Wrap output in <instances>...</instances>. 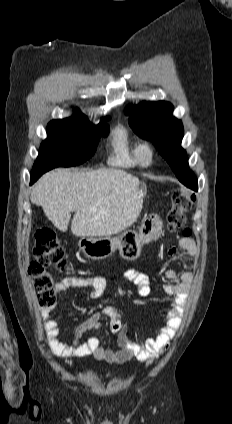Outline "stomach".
<instances>
[{
    "instance_id": "stomach-1",
    "label": "stomach",
    "mask_w": 232,
    "mask_h": 424,
    "mask_svg": "<svg viewBox=\"0 0 232 424\" xmlns=\"http://www.w3.org/2000/svg\"><path fill=\"white\" fill-rule=\"evenodd\" d=\"M162 231V221L159 218L143 221L139 232L128 230L117 237H83L79 246L83 253L92 259H105L116 249L126 259H135L140 255L144 244L154 241Z\"/></svg>"
}]
</instances>
